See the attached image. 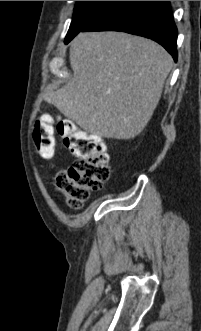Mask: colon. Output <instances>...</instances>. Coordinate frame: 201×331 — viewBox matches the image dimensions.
<instances>
[{"mask_svg": "<svg viewBox=\"0 0 201 331\" xmlns=\"http://www.w3.org/2000/svg\"><path fill=\"white\" fill-rule=\"evenodd\" d=\"M57 132L75 161L57 174L56 185L65 195L68 205L73 209H80L91 192L100 190L108 180L109 157L98 136L80 130L71 121H60ZM34 142L43 158L53 156L55 138L50 117L43 116L36 122Z\"/></svg>", "mask_w": 201, "mask_h": 331, "instance_id": "1", "label": "colon"}]
</instances>
